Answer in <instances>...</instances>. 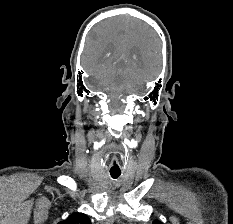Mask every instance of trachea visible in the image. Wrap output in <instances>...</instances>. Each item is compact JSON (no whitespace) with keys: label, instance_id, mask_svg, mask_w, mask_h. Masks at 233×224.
I'll return each mask as SVG.
<instances>
[{"label":"trachea","instance_id":"obj_1","mask_svg":"<svg viewBox=\"0 0 233 224\" xmlns=\"http://www.w3.org/2000/svg\"><path fill=\"white\" fill-rule=\"evenodd\" d=\"M110 175L113 179H117L121 175V172H110Z\"/></svg>","mask_w":233,"mask_h":224}]
</instances>
